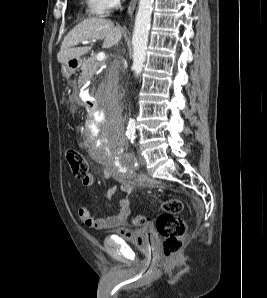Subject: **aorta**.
Wrapping results in <instances>:
<instances>
[{"label": "aorta", "instance_id": "762f6f07", "mask_svg": "<svg viewBox=\"0 0 267 298\" xmlns=\"http://www.w3.org/2000/svg\"><path fill=\"white\" fill-rule=\"evenodd\" d=\"M154 0H139V8L135 18L132 37L133 45V70L135 76H139L143 70L146 59L148 36L151 24L152 6ZM136 122L130 119L127 125V133L134 134Z\"/></svg>", "mask_w": 267, "mask_h": 298}]
</instances>
